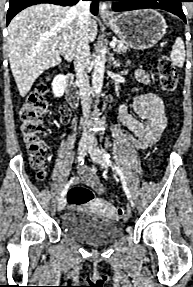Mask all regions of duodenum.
Listing matches in <instances>:
<instances>
[{"mask_svg":"<svg viewBox=\"0 0 193 287\" xmlns=\"http://www.w3.org/2000/svg\"><path fill=\"white\" fill-rule=\"evenodd\" d=\"M66 99L67 103L72 107L75 106L78 101V89L71 74L68 78Z\"/></svg>","mask_w":193,"mask_h":287,"instance_id":"410a0bca","label":"duodenum"}]
</instances>
